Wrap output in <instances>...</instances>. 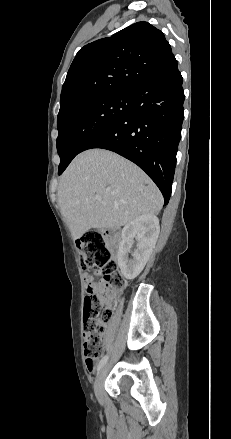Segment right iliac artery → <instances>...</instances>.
Segmentation results:
<instances>
[{
  "instance_id": "right-iliac-artery-1",
  "label": "right iliac artery",
  "mask_w": 231,
  "mask_h": 439,
  "mask_svg": "<svg viewBox=\"0 0 231 439\" xmlns=\"http://www.w3.org/2000/svg\"><path fill=\"white\" fill-rule=\"evenodd\" d=\"M107 360H108V355L104 356V357L100 360V362H99V364H98V367H97V370H98V371H99V370H100V369L106 364Z\"/></svg>"
}]
</instances>
